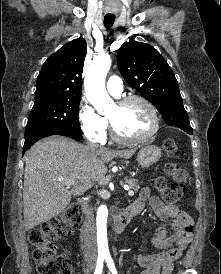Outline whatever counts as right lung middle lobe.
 <instances>
[{"label": "right lung middle lobe", "instance_id": "obj_1", "mask_svg": "<svg viewBox=\"0 0 221 274\" xmlns=\"http://www.w3.org/2000/svg\"><path fill=\"white\" fill-rule=\"evenodd\" d=\"M80 97L81 95H69L35 99L26 125L25 138L51 129L82 134L78 120Z\"/></svg>", "mask_w": 221, "mask_h": 274}]
</instances>
